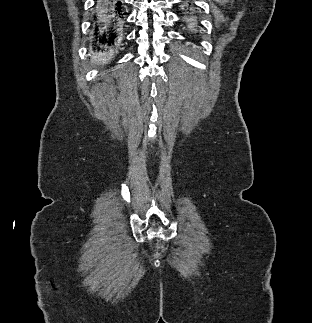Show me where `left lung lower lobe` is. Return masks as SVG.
<instances>
[{
    "mask_svg": "<svg viewBox=\"0 0 312 323\" xmlns=\"http://www.w3.org/2000/svg\"><path fill=\"white\" fill-rule=\"evenodd\" d=\"M189 6L191 5L190 3L188 4ZM188 23H191V22H188ZM192 27H193V25H191ZM194 28H196V27H194ZM197 29H199V28H197ZM195 43V42H194Z\"/></svg>",
    "mask_w": 312,
    "mask_h": 323,
    "instance_id": "obj_1",
    "label": "left lung lower lobe"
}]
</instances>
